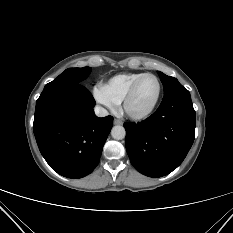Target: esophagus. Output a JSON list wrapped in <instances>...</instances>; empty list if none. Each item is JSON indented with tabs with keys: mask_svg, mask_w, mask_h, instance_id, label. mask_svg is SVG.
Masks as SVG:
<instances>
[{
	"mask_svg": "<svg viewBox=\"0 0 233 233\" xmlns=\"http://www.w3.org/2000/svg\"><path fill=\"white\" fill-rule=\"evenodd\" d=\"M114 124H115V125H122L123 122H122V120H120V119H114Z\"/></svg>",
	"mask_w": 233,
	"mask_h": 233,
	"instance_id": "1",
	"label": "esophagus"
}]
</instances>
